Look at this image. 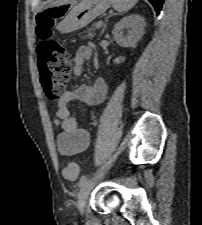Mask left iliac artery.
<instances>
[{
	"instance_id": "44dca946",
	"label": "left iliac artery",
	"mask_w": 202,
	"mask_h": 225,
	"mask_svg": "<svg viewBox=\"0 0 202 225\" xmlns=\"http://www.w3.org/2000/svg\"><path fill=\"white\" fill-rule=\"evenodd\" d=\"M85 181H87V176L84 175L80 178L79 186H82L85 183Z\"/></svg>"
}]
</instances>
